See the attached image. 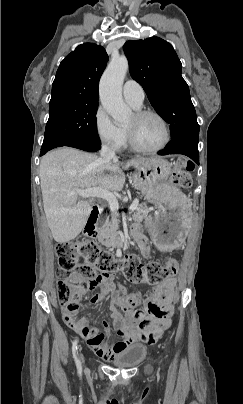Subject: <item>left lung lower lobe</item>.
I'll return each mask as SVG.
<instances>
[{"mask_svg":"<svg viewBox=\"0 0 243 404\" xmlns=\"http://www.w3.org/2000/svg\"><path fill=\"white\" fill-rule=\"evenodd\" d=\"M198 140L199 135H180L174 137L165 149L159 152V154H183L190 157L199 165Z\"/></svg>","mask_w":243,"mask_h":404,"instance_id":"obj_1","label":"left lung lower lobe"}]
</instances>
